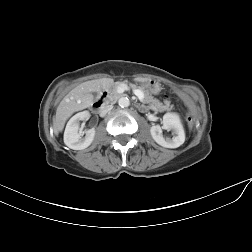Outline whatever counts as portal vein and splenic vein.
Segmentation results:
<instances>
[{"mask_svg":"<svg viewBox=\"0 0 252 252\" xmlns=\"http://www.w3.org/2000/svg\"><path fill=\"white\" fill-rule=\"evenodd\" d=\"M134 94L140 99L142 100L144 98V94L142 91H140L139 89L134 90Z\"/></svg>","mask_w":252,"mask_h":252,"instance_id":"18ae733b","label":"portal vein and splenic vein"}]
</instances>
